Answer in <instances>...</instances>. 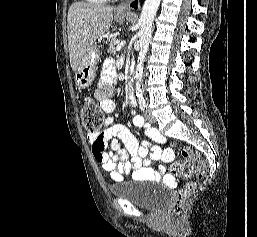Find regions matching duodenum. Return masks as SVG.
I'll return each mask as SVG.
<instances>
[{
	"instance_id": "1",
	"label": "duodenum",
	"mask_w": 257,
	"mask_h": 237,
	"mask_svg": "<svg viewBox=\"0 0 257 237\" xmlns=\"http://www.w3.org/2000/svg\"><path fill=\"white\" fill-rule=\"evenodd\" d=\"M130 72H133V69L130 70ZM127 93H128V98L129 101L131 102V104H135L136 99H135V92H134V88L132 84H129L128 88H127Z\"/></svg>"
}]
</instances>
